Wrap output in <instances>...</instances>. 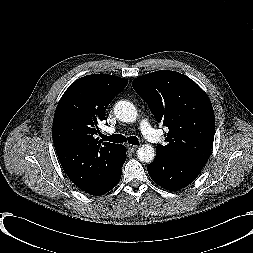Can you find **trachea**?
<instances>
[{
    "mask_svg": "<svg viewBox=\"0 0 253 253\" xmlns=\"http://www.w3.org/2000/svg\"><path fill=\"white\" fill-rule=\"evenodd\" d=\"M101 137L103 140L114 142V143H123L127 141L128 143L132 145H138L139 143L138 138L136 136H130L126 138L125 136L121 134H114L111 136L102 135Z\"/></svg>",
    "mask_w": 253,
    "mask_h": 253,
    "instance_id": "1",
    "label": "trachea"
}]
</instances>
